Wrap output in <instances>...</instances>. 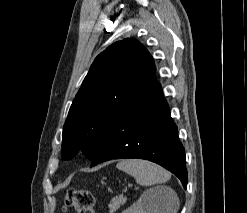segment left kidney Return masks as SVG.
Wrapping results in <instances>:
<instances>
[{
	"mask_svg": "<svg viewBox=\"0 0 247 213\" xmlns=\"http://www.w3.org/2000/svg\"><path fill=\"white\" fill-rule=\"evenodd\" d=\"M159 196L153 190L145 191L139 200L122 213H160Z\"/></svg>",
	"mask_w": 247,
	"mask_h": 213,
	"instance_id": "left-kidney-1",
	"label": "left kidney"
}]
</instances>
